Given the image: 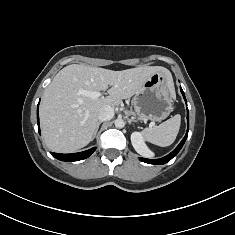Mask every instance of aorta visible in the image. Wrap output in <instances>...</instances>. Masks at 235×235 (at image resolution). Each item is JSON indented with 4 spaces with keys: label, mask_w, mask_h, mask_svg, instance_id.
I'll use <instances>...</instances> for the list:
<instances>
[{
    "label": "aorta",
    "mask_w": 235,
    "mask_h": 235,
    "mask_svg": "<svg viewBox=\"0 0 235 235\" xmlns=\"http://www.w3.org/2000/svg\"><path fill=\"white\" fill-rule=\"evenodd\" d=\"M115 127L116 128H123L124 127V121L122 119H116L115 120Z\"/></svg>",
    "instance_id": "obj_1"
}]
</instances>
